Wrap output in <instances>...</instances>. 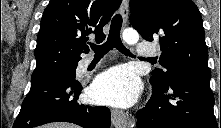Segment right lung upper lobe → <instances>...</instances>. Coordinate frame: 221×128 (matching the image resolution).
<instances>
[{
	"label": "right lung upper lobe",
	"instance_id": "cb5924a9",
	"mask_svg": "<svg viewBox=\"0 0 221 128\" xmlns=\"http://www.w3.org/2000/svg\"><path fill=\"white\" fill-rule=\"evenodd\" d=\"M122 0H51L44 10L35 49L32 76H47L77 65L89 51V35L105 38L102 29Z\"/></svg>",
	"mask_w": 221,
	"mask_h": 128
}]
</instances>
